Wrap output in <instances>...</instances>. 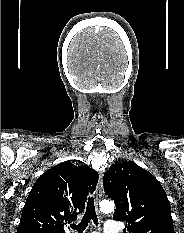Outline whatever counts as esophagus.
I'll return each instance as SVG.
<instances>
[{
    "instance_id": "esophagus-1",
    "label": "esophagus",
    "mask_w": 184,
    "mask_h": 233,
    "mask_svg": "<svg viewBox=\"0 0 184 233\" xmlns=\"http://www.w3.org/2000/svg\"><path fill=\"white\" fill-rule=\"evenodd\" d=\"M102 191H103V173L100 172L98 187H97V191H96V205H98L99 201L102 198Z\"/></svg>"
}]
</instances>
